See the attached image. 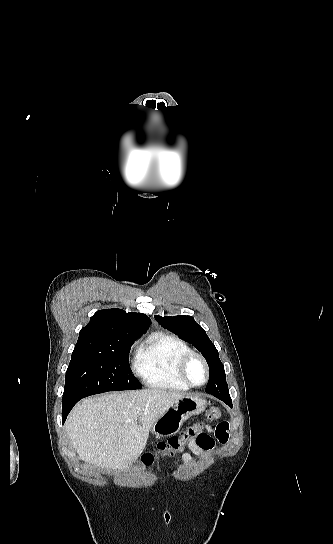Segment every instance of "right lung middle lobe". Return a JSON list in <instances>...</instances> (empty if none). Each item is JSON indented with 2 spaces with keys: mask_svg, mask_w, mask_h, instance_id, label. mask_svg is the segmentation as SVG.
I'll return each instance as SVG.
<instances>
[{
  "mask_svg": "<svg viewBox=\"0 0 333 544\" xmlns=\"http://www.w3.org/2000/svg\"><path fill=\"white\" fill-rule=\"evenodd\" d=\"M136 339H116L106 350H74L62 399L73 401L107 391L140 389L128 358Z\"/></svg>",
  "mask_w": 333,
  "mask_h": 544,
  "instance_id": "right-lung-middle-lobe-1",
  "label": "right lung middle lobe"
}]
</instances>
